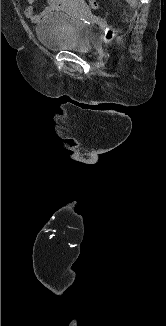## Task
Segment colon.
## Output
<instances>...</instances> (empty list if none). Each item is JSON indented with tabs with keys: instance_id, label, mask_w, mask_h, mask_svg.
Segmentation results:
<instances>
[{
	"instance_id": "1",
	"label": "colon",
	"mask_w": 166,
	"mask_h": 326,
	"mask_svg": "<svg viewBox=\"0 0 166 326\" xmlns=\"http://www.w3.org/2000/svg\"><path fill=\"white\" fill-rule=\"evenodd\" d=\"M90 7L91 8H97L98 7V3L96 0H90ZM113 37V31L109 30L108 33L106 34V39L107 40H111V38Z\"/></svg>"
}]
</instances>
